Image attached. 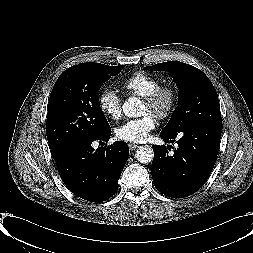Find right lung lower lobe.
Here are the masks:
<instances>
[{
	"instance_id": "obj_1",
	"label": "right lung lower lobe",
	"mask_w": 253,
	"mask_h": 253,
	"mask_svg": "<svg viewBox=\"0 0 253 253\" xmlns=\"http://www.w3.org/2000/svg\"><path fill=\"white\" fill-rule=\"evenodd\" d=\"M109 127L95 137H83L54 157L60 177L76 196L91 202H103L118 189V180L129 155L128 145L116 141L107 148L92 147L94 141L107 142Z\"/></svg>"
}]
</instances>
